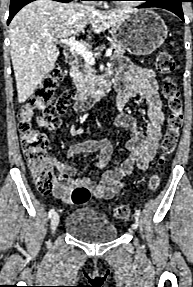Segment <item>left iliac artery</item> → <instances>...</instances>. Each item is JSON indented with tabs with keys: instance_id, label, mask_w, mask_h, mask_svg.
<instances>
[{
	"instance_id": "44dca946",
	"label": "left iliac artery",
	"mask_w": 193,
	"mask_h": 287,
	"mask_svg": "<svg viewBox=\"0 0 193 287\" xmlns=\"http://www.w3.org/2000/svg\"><path fill=\"white\" fill-rule=\"evenodd\" d=\"M135 214H136L137 216H140V210L136 209V210H135Z\"/></svg>"
}]
</instances>
